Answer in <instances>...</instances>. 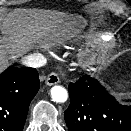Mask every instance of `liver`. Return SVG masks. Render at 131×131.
<instances>
[{
	"label": "liver",
	"mask_w": 131,
	"mask_h": 131,
	"mask_svg": "<svg viewBox=\"0 0 131 131\" xmlns=\"http://www.w3.org/2000/svg\"><path fill=\"white\" fill-rule=\"evenodd\" d=\"M73 22L64 14L40 10L14 9L0 14V71L8 63V51L17 58L33 48L35 43L45 44L53 37L69 33ZM5 47V48H3Z\"/></svg>",
	"instance_id": "liver-1"
}]
</instances>
